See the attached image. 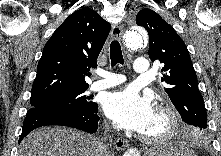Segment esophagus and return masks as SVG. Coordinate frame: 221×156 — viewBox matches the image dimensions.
<instances>
[{"mask_svg":"<svg viewBox=\"0 0 221 156\" xmlns=\"http://www.w3.org/2000/svg\"><path fill=\"white\" fill-rule=\"evenodd\" d=\"M111 36L114 39L121 40L122 37V28L119 25H112L111 28ZM114 145L117 150H125L128 147V142L122 138H116L114 141Z\"/></svg>","mask_w":221,"mask_h":156,"instance_id":"esophagus-1","label":"esophagus"}]
</instances>
